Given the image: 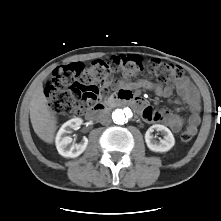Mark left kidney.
Wrapping results in <instances>:
<instances>
[{"mask_svg": "<svg viewBox=\"0 0 221 221\" xmlns=\"http://www.w3.org/2000/svg\"><path fill=\"white\" fill-rule=\"evenodd\" d=\"M160 131L163 134V139L159 142L153 139L152 132ZM145 142L148 148L154 152L169 151L175 144V139L172 132L161 124L152 125L145 133Z\"/></svg>", "mask_w": 221, "mask_h": 221, "instance_id": "left-kidney-1", "label": "left kidney"}]
</instances>
